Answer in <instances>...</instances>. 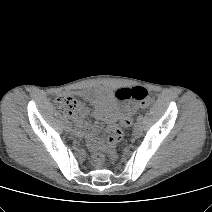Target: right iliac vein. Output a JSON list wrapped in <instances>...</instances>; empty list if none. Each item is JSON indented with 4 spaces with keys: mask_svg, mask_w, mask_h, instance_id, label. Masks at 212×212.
<instances>
[{
    "mask_svg": "<svg viewBox=\"0 0 212 212\" xmlns=\"http://www.w3.org/2000/svg\"><path fill=\"white\" fill-rule=\"evenodd\" d=\"M66 129H67L68 131L71 130V124H70L69 122H66Z\"/></svg>",
    "mask_w": 212,
    "mask_h": 212,
    "instance_id": "63e3f726",
    "label": "right iliac vein"
}]
</instances>
